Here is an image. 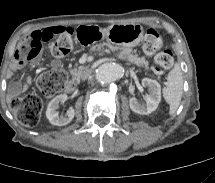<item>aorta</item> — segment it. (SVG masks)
Returning <instances> with one entry per match:
<instances>
[{
	"label": "aorta",
	"mask_w": 215,
	"mask_h": 183,
	"mask_svg": "<svg viewBox=\"0 0 215 183\" xmlns=\"http://www.w3.org/2000/svg\"><path fill=\"white\" fill-rule=\"evenodd\" d=\"M124 74V68L114 62H106L96 70V79L100 83H111L119 80Z\"/></svg>",
	"instance_id": "762f6f07"
}]
</instances>
